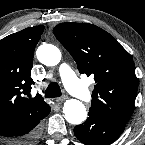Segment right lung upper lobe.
Returning a JSON list of instances; mask_svg holds the SVG:
<instances>
[{"mask_svg":"<svg viewBox=\"0 0 145 145\" xmlns=\"http://www.w3.org/2000/svg\"><path fill=\"white\" fill-rule=\"evenodd\" d=\"M43 30L29 27L0 40V127L20 124L46 105L40 96L24 97L34 84L30 71Z\"/></svg>","mask_w":145,"mask_h":145,"instance_id":"right-lung-upper-lobe-1","label":"right lung upper lobe"}]
</instances>
